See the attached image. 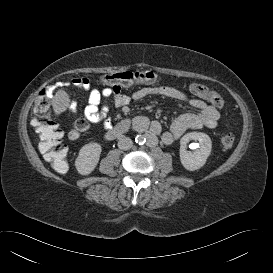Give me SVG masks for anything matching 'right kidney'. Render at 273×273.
I'll return each mask as SVG.
<instances>
[{
  "mask_svg": "<svg viewBox=\"0 0 273 273\" xmlns=\"http://www.w3.org/2000/svg\"><path fill=\"white\" fill-rule=\"evenodd\" d=\"M101 151L102 147L98 143H88L80 149L75 165L81 175H88L95 169Z\"/></svg>",
  "mask_w": 273,
  "mask_h": 273,
  "instance_id": "right-kidney-1",
  "label": "right kidney"
}]
</instances>
